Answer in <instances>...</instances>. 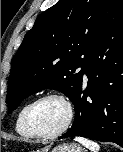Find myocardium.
<instances>
[{
    "label": "myocardium",
    "mask_w": 123,
    "mask_h": 152,
    "mask_svg": "<svg viewBox=\"0 0 123 152\" xmlns=\"http://www.w3.org/2000/svg\"><path fill=\"white\" fill-rule=\"evenodd\" d=\"M48 99H57V100H60L61 102H63L67 109V118H66L65 123L59 130H57L53 133H41V132L37 131L34 128V126L32 125L31 115H32L34 108L40 102H42L44 100H48ZM73 119H74V107H73L71 100L66 95H64L62 93H58V92H49V93L43 94V95L39 96L38 98H36L35 100H33L28 105V107L25 111V115H24V123H25L27 130L34 137H37L40 139H54V138L61 136L69 129V127L71 126V124L73 122Z\"/></svg>",
    "instance_id": "obj_1"
}]
</instances>
